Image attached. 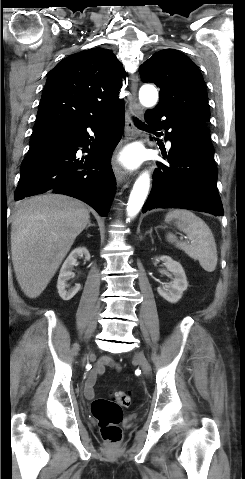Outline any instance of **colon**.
<instances>
[{"label": "colon", "mask_w": 245, "mask_h": 479, "mask_svg": "<svg viewBox=\"0 0 245 479\" xmlns=\"http://www.w3.org/2000/svg\"><path fill=\"white\" fill-rule=\"evenodd\" d=\"M131 404L129 392L114 390L112 398H97L92 402L91 410L97 421L103 439L109 445H116L122 437L120 424L123 420V407Z\"/></svg>", "instance_id": "1"}]
</instances>
